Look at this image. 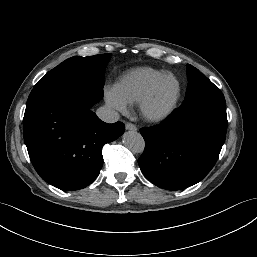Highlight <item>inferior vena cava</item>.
Instances as JSON below:
<instances>
[{
	"label": "inferior vena cava",
	"mask_w": 257,
	"mask_h": 257,
	"mask_svg": "<svg viewBox=\"0 0 257 257\" xmlns=\"http://www.w3.org/2000/svg\"><path fill=\"white\" fill-rule=\"evenodd\" d=\"M97 116L106 123L117 122L120 118L119 113L108 106H102L96 111Z\"/></svg>",
	"instance_id": "602c4592"
}]
</instances>
